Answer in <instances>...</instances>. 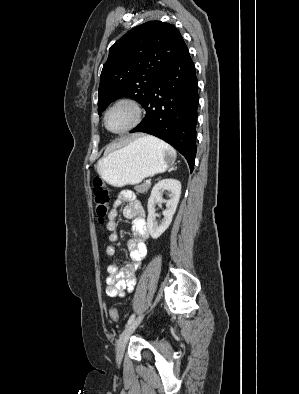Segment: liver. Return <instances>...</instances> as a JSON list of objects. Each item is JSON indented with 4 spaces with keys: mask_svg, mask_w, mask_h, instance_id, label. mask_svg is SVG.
Instances as JSON below:
<instances>
[{
    "mask_svg": "<svg viewBox=\"0 0 299 394\" xmlns=\"http://www.w3.org/2000/svg\"><path fill=\"white\" fill-rule=\"evenodd\" d=\"M129 140H130V139L125 140L124 143H127Z\"/></svg>",
    "mask_w": 299,
    "mask_h": 394,
    "instance_id": "6515ba94",
    "label": "liver"
}]
</instances>
